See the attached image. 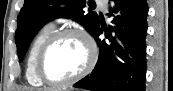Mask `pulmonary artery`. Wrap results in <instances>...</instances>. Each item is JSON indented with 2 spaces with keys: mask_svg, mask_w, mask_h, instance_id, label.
<instances>
[{
  "mask_svg": "<svg viewBox=\"0 0 173 91\" xmlns=\"http://www.w3.org/2000/svg\"><path fill=\"white\" fill-rule=\"evenodd\" d=\"M97 3L101 4V5L104 7V3H105V1L98 0Z\"/></svg>",
  "mask_w": 173,
  "mask_h": 91,
  "instance_id": "obj_1",
  "label": "pulmonary artery"
}]
</instances>
